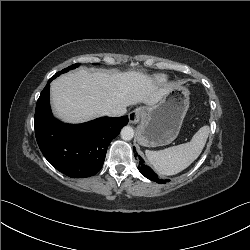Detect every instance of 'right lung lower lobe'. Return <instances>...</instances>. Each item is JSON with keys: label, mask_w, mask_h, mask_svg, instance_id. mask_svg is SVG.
<instances>
[{"label": "right lung lower lobe", "mask_w": 250, "mask_h": 250, "mask_svg": "<svg viewBox=\"0 0 250 250\" xmlns=\"http://www.w3.org/2000/svg\"><path fill=\"white\" fill-rule=\"evenodd\" d=\"M37 101L35 135L38 146L48 162L71 178H85L98 173L107 148L127 125L128 117H101L87 123L64 124L53 118L49 104V83Z\"/></svg>", "instance_id": "1"}]
</instances>
